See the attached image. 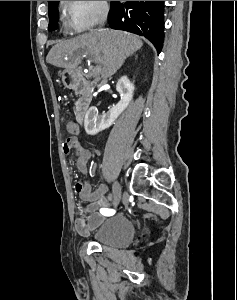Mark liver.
Here are the masks:
<instances>
[{
	"label": "liver",
	"mask_w": 237,
	"mask_h": 300,
	"mask_svg": "<svg viewBox=\"0 0 237 300\" xmlns=\"http://www.w3.org/2000/svg\"><path fill=\"white\" fill-rule=\"evenodd\" d=\"M142 45L137 35L102 29L57 43L50 49L46 61L55 67L73 71L80 65L83 55H92L93 61L102 65L101 75L107 79L122 67L129 55L141 49Z\"/></svg>",
	"instance_id": "liver-1"
}]
</instances>
